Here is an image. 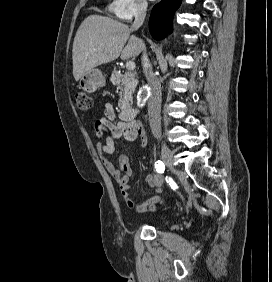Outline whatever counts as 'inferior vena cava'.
I'll list each match as a JSON object with an SVG mask.
<instances>
[{
	"label": "inferior vena cava",
	"mask_w": 272,
	"mask_h": 282,
	"mask_svg": "<svg viewBox=\"0 0 272 282\" xmlns=\"http://www.w3.org/2000/svg\"><path fill=\"white\" fill-rule=\"evenodd\" d=\"M147 11V3L141 2L138 4L135 12V20L131 26V30L139 29L145 20ZM142 66L143 73L149 84V101H148V115L152 134L155 138H161V84L155 77L152 65L145 52V45L143 44Z\"/></svg>",
	"instance_id": "obj_1"
}]
</instances>
